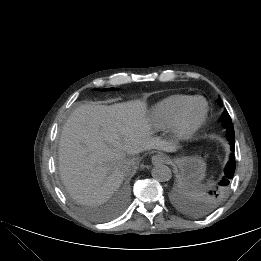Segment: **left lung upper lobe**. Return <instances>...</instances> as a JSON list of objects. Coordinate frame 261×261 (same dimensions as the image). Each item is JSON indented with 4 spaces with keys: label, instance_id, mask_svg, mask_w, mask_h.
<instances>
[{
    "label": "left lung upper lobe",
    "instance_id": "obj_1",
    "mask_svg": "<svg viewBox=\"0 0 261 261\" xmlns=\"http://www.w3.org/2000/svg\"><path fill=\"white\" fill-rule=\"evenodd\" d=\"M219 103L221 106L223 105L220 98H219ZM222 122L224 127L226 128L227 140L229 141V143L234 142V128L232 125V120L226 110L222 115ZM229 184H230V180L224 174L221 180L209 192L208 202H209L210 209L215 207L222 200V198L225 195V192L227 191Z\"/></svg>",
    "mask_w": 261,
    "mask_h": 261
}]
</instances>
